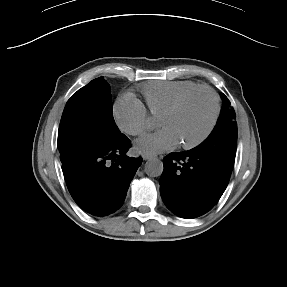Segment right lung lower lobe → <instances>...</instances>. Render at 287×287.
Here are the masks:
<instances>
[{
  "label": "right lung lower lobe",
  "instance_id": "1",
  "mask_svg": "<svg viewBox=\"0 0 287 287\" xmlns=\"http://www.w3.org/2000/svg\"><path fill=\"white\" fill-rule=\"evenodd\" d=\"M129 139L123 134L115 142L80 153L62 170L74 201L86 212L105 216L120 208L142 158L128 157Z\"/></svg>",
  "mask_w": 287,
  "mask_h": 287
}]
</instances>
